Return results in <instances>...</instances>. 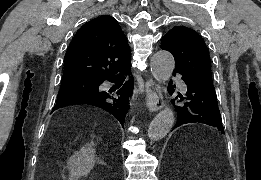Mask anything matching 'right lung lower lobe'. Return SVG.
I'll return each mask as SVG.
<instances>
[{
	"instance_id": "right-lung-lower-lobe-1",
	"label": "right lung lower lobe",
	"mask_w": 261,
	"mask_h": 180,
	"mask_svg": "<svg viewBox=\"0 0 261 180\" xmlns=\"http://www.w3.org/2000/svg\"><path fill=\"white\" fill-rule=\"evenodd\" d=\"M121 74L130 75V68L127 67L125 70L121 71L120 75ZM116 77L117 76L112 75L111 77H108L104 80L113 81ZM104 80H101L99 85ZM132 88L133 81L131 78L123 85L121 90L117 91V97H114L112 94L107 92H100L99 89H97L92 94L80 93L71 95L60 101H57L53 111L71 104H90L108 111L121 123V125H123L127 110L129 108L128 100L129 96L132 94Z\"/></svg>"
}]
</instances>
